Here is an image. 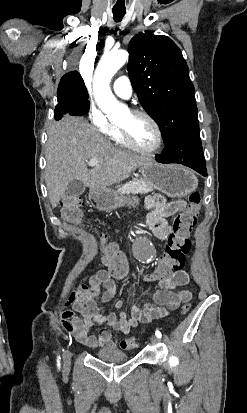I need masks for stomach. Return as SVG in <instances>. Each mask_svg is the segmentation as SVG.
Segmentation results:
<instances>
[{"mask_svg": "<svg viewBox=\"0 0 247 413\" xmlns=\"http://www.w3.org/2000/svg\"><path fill=\"white\" fill-rule=\"evenodd\" d=\"M140 170L146 182L171 198L187 196L198 186V178L193 170L181 164H161L149 158L143 166H140ZM89 198L94 200L99 211H113L118 207H124V204H127V207H136V204H139L138 196H119L111 188L90 190Z\"/></svg>", "mask_w": 247, "mask_h": 413, "instance_id": "stomach-1", "label": "stomach"}]
</instances>
